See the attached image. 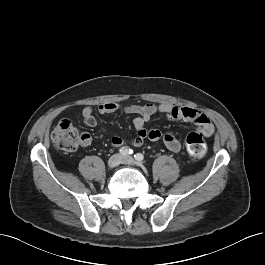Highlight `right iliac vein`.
<instances>
[{"label": "right iliac vein", "mask_w": 265, "mask_h": 265, "mask_svg": "<svg viewBox=\"0 0 265 265\" xmlns=\"http://www.w3.org/2000/svg\"><path fill=\"white\" fill-rule=\"evenodd\" d=\"M122 157L119 154L112 155L108 160V167L115 168L120 164Z\"/></svg>", "instance_id": "obj_1"}]
</instances>
